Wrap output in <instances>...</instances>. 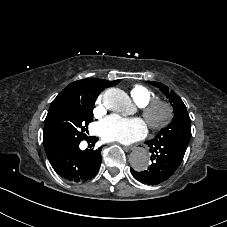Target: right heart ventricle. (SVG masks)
<instances>
[{
	"label": "right heart ventricle",
	"mask_w": 227,
	"mask_h": 227,
	"mask_svg": "<svg viewBox=\"0 0 227 227\" xmlns=\"http://www.w3.org/2000/svg\"><path fill=\"white\" fill-rule=\"evenodd\" d=\"M129 94L133 101L141 107L154 98L153 92L140 84L133 85L129 90Z\"/></svg>",
	"instance_id": "obj_1"
}]
</instances>
